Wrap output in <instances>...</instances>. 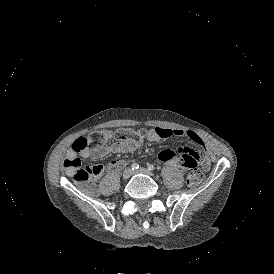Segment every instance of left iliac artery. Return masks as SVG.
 I'll use <instances>...</instances> for the list:
<instances>
[{"instance_id":"obj_1","label":"left iliac artery","mask_w":274,"mask_h":274,"mask_svg":"<svg viewBox=\"0 0 274 274\" xmlns=\"http://www.w3.org/2000/svg\"><path fill=\"white\" fill-rule=\"evenodd\" d=\"M148 169L151 170V171H153V170H155V167L152 164H149L148 165Z\"/></svg>"}]
</instances>
